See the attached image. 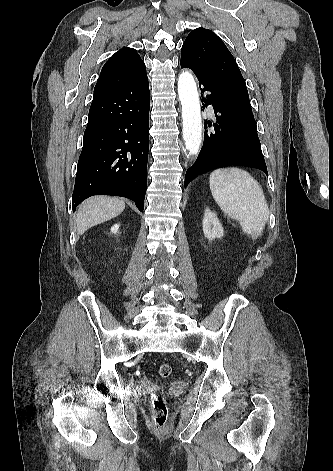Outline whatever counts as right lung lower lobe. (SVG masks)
<instances>
[{
    "label": "right lung lower lobe",
    "instance_id": "1",
    "mask_svg": "<svg viewBox=\"0 0 333 471\" xmlns=\"http://www.w3.org/2000/svg\"><path fill=\"white\" fill-rule=\"evenodd\" d=\"M147 75L93 99L79 157L72 208L93 195L123 196L144 209L149 150Z\"/></svg>",
    "mask_w": 333,
    "mask_h": 471
}]
</instances>
